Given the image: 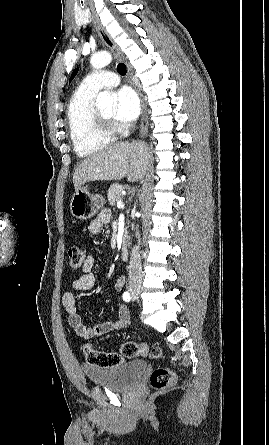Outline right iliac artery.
<instances>
[{
	"label": "right iliac artery",
	"mask_w": 269,
	"mask_h": 445,
	"mask_svg": "<svg viewBox=\"0 0 269 445\" xmlns=\"http://www.w3.org/2000/svg\"><path fill=\"white\" fill-rule=\"evenodd\" d=\"M122 297L125 302H129L131 299L129 292H127V291L123 293Z\"/></svg>",
	"instance_id": "1"
}]
</instances>
